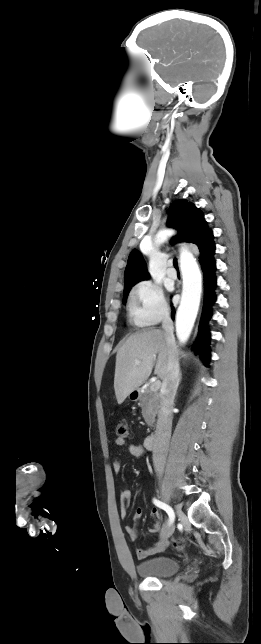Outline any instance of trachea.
Wrapping results in <instances>:
<instances>
[{"instance_id":"trachea-1","label":"trachea","mask_w":261,"mask_h":644,"mask_svg":"<svg viewBox=\"0 0 261 644\" xmlns=\"http://www.w3.org/2000/svg\"><path fill=\"white\" fill-rule=\"evenodd\" d=\"M173 264H174V267H175L176 269H178V262H177V259H176V258L174 259Z\"/></svg>"}]
</instances>
